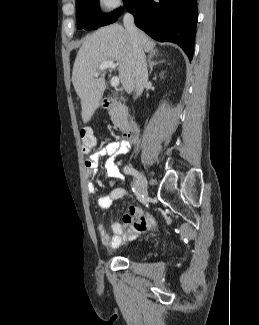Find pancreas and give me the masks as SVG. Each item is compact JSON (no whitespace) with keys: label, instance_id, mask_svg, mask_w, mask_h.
<instances>
[{"label":"pancreas","instance_id":"obj_1","mask_svg":"<svg viewBox=\"0 0 259 325\" xmlns=\"http://www.w3.org/2000/svg\"><path fill=\"white\" fill-rule=\"evenodd\" d=\"M109 115L113 124L120 130H125L127 128V115L126 107L118 101H114L112 107L109 110Z\"/></svg>","mask_w":259,"mask_h":325}]
</instances>
